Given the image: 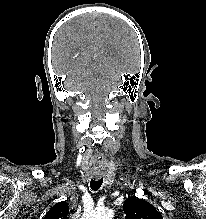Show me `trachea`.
Segmentation results:
<instances>
[{
    "label": "trachea",
    "mask_w": 206,
    "mask_h": 219,
    "mask_svg": "<svg viewBox=\"0 0 206 219\" xmlns=\"http://www.w3.org/2000/svg\"><path fill=\"white\" fill-rule=\"evenodd\" d=\"M102 183H103V178H100L98 180L91 179L90 187L93 191H96L101 187Z\"/></svg>",
    "instance_id": "1"
}]
</instances>
